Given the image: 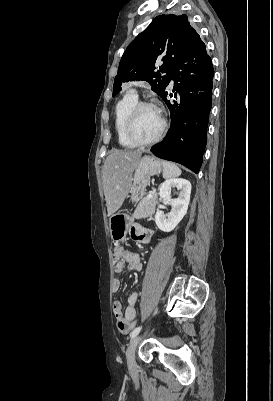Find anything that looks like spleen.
Wrapping results in <instances>:
<instances>
[{
  "label": "spleen",
  "instance_id": "3e777b00",
  "mask_svg": "<svg viewBox=\"0 0 273 401\" xmlns=\"http://www.w3.org/2000/svg\"><path fill=\"white\" fill-rule=\"evenodd\" d=\"M163 166L164 178H172V176H179L181 170L174 162H167V160H161Z\"/></svg>",
  "mask_w": 273,
  "mask_h": 401
}]
</instances>
